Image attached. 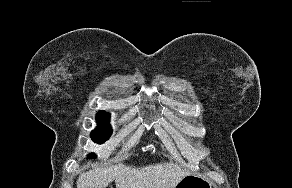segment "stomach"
I'll return each mask as SVG.
<instances>
[{"label":"stomach","mask_w":292,"mask_h":188,"mask_svg":"<svg viewBox=\"0 0 292 188\" xmlns=\"http://www.w3.org/2000/svg\"><path fill=\"white\" fill-rule=\"evenodd\" d=\"M213 184L207 178L200 175H186L175 186V188H212Z\"/></svg>","instance_id":"stomach-1"}]
</instances>
